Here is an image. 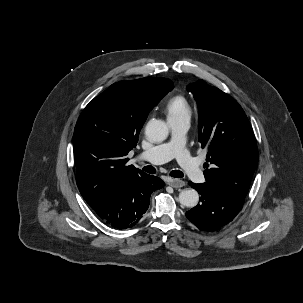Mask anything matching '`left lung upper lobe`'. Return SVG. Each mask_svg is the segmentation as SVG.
Instances as JSON below:
<instances>
[{"mask_svg":"<svg viewBox=\"0 0 303 303\" xmlns=\"http://www.w3.org/2000/svg\"><path fill=\"white\" fill-rule=\"evenodd\" d=\"M189 91L199 108V141L208 149L206 183L244 201L258 161L249 120L235 99L203 80L190 84Z\"/></svg>","mask_w":303,"mask_h":303,"instance_id":"5c2ea615","label":"left lung upper lobe"}]
</instances>
